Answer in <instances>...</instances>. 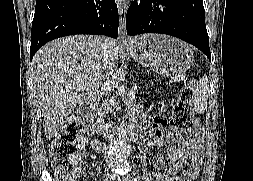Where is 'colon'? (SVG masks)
I'll return each mask as SVG.
<instances>
[{
  "instance_id": "1",
  "label": "colon",
  "mask_w": 253,
  "mask_h": 181,
  "mask_svg": "<svg viewBox=\"0 0 253 181\" xmlns=\"http://www.w3.org/2000/svg\"><path fill=\"white\" fill-rule=\"evenodd\" d=\"M194 88L185 85L174 102L171 124L181 133L190 132L196 118L192 111ZM87 140V131L81 119L71 117L59 129L52 147L51 158L58 181H76L81 172V158ZM173 181H181L179 175Z\"/></svg>"
}]
</instances>
